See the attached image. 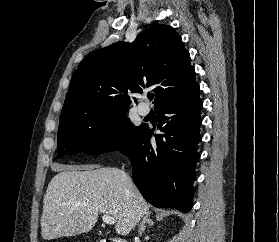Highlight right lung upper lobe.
I'll return each instance as SVG.
<instances>
[{"label": "right lung upper lobe", "instance_id": "cb5924a9", "mask_svg": "<svg viewBox=\"0 0 279 242\" xmlns=\"http://www.w3.org/2000/svg\"><path fill=\"white\" fill-rule=\"evenodd\" d=\"M197 85L180 35L159 24L132 44L117 42L90 53L73 73L59 125L126 112L131 95L154 87L155 108Z\"/></svg>", "mask_w": 279, "mask_h": 242}]
</instances>
